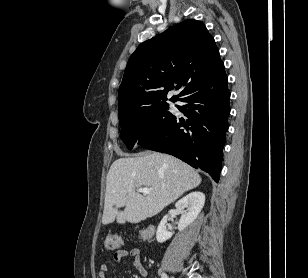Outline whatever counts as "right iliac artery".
<instances>
[{
  "label": "right iliac artery",
  "mask_w": 308,
  "mask_h": 278,
  "mask_svg": "<svg viewBox=\"0 0 308 278\" xmlns=\"http://www.w3.org/2000/svg\"><path fill=\"white\" fill-rule=\"evenodd\" d=\"M162 278H168L167 275L165 273H162Z\"/></svg>",
  "instance_id": "82829eb1"
}]
</instances>
